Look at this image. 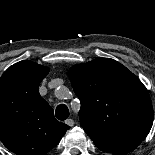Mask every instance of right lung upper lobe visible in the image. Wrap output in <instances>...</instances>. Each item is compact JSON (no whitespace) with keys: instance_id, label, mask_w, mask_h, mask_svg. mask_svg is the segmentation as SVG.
I'll return each mask as SVG.
<instances>
[{"instance_id":"right-lung-upper-lobe-1","label":"right lung upper lobe","mask_w":155,"mask_h":155,"mask_svg":"<svg viewBox=\"0 0 155 155\" xmlns=\"http://www.w3.org/2000/svg\"><path fill=\"white\" fill-rule=\"evenodd\" d=\"M48 72L47 67L24 60L0 78V140L16 155H46L69 129L54 118L39 94Z\"/></svg>"}]
</instances>
